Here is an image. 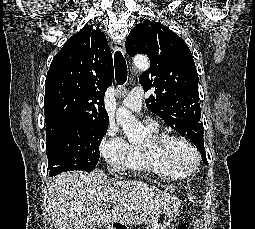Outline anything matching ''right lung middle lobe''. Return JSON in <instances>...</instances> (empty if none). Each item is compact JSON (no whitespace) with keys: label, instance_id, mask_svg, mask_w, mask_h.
Segmentation results:
<instances>
[{"label":"right lung middle lobe","instance_id":"obj_1","mask_svg":"<svg viewBox=\"0 0 255 229\" xmlns=\"http://www.w3.org/2000/svg\"><path fill=\"white\" fill-rule=\"evenodd\" d=\"M109 122L46 124L49 176L65 171H92L100 158L99 145Z\"/></svg>","mask_w":255,"mask_h":229}]
</instances>
